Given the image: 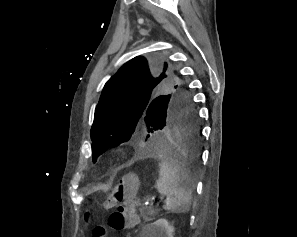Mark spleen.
Returning <instances> with one entry per match:
<instances>
[{"label":"spleen","mask_w":297,"mask_h":237,"mask_svg":"<svg viewBox=\"0 0 297 237\" xmlns=\"http://www.w3.org/2000/svg\"><path fill=\"white\" fill-rule=\"evenodd\" d=\"M157 191L166 196L164 209L173 213H187L191 207L192 187L190 180L168 160L159 164Z\"/></svg>","instance_id":"1"}]
</instances>
